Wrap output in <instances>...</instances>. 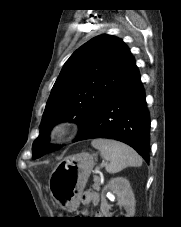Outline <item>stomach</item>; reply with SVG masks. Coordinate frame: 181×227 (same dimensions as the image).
<instances>
[{
  "label": "stomach",
  "instance_id": "1",
  "mask_svg": "<svg viewBox=\"0 0 181 227\" xmlns=\"http://www.w3.org/2000/svg\"><path fill=\"white\" fill-rule=\"evenodd\" d=\"M95 165L93 154L82 152L66 157L53 169L48 188L56 203L74 211Z\"/></svg>",
  "mask_w": 181,
  "mask_h": 227
}]
</instances>
